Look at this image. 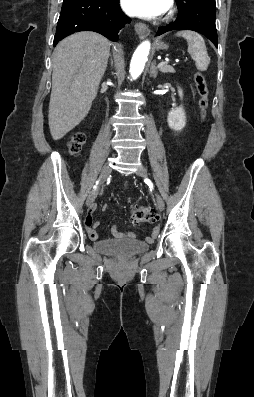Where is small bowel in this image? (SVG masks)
Instances as JSON below:
<instances>
[{
  "mask_svg": "<svg viewBox=\"0 0 254 397\" xmlns=\"http://www.w3.org/2000/svg\"><path fill=\"white\" fill-rule=\"evenodd\" d=\"M95 210H96V205L95 204L91 205L87 211L86 218H85L86 230H87L89 238L92 240L98 239V233H97L96 229L100 225L99 221L93 220V213L95 212ZM103 210L106 211L107 206H104ZM158 231H159L158 227H155L153 230L152 236L148 237L147 240L150 241L153 238H155L158 234ZM112 234L117 238H133L134 237V234L132 232L118 231L116 225L112 227Z\"/></svg>",
  "mask_w": 254,
  "mask_h": 397,
  "instance_id": "c3829d8e",
  "label": "small bowel"
}]
</instances>
